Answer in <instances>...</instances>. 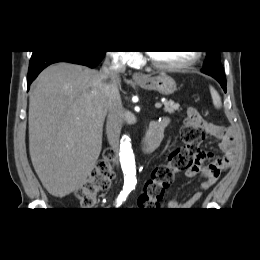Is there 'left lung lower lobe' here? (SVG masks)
I'll list each match as a JSON object with an SVG mask.
<instances>
[{
    "label": "left lung lower lobe",
    "mask_w": 260,
    "mask_h": 260,
    "mask_svg": "<svg viewBox=\"0 0 260 260\" xmlns=\"http://www.w3.org/2000/svg\"><path fill=\"white\" fill-rule=\"evenodd\" d=\"M203 73L215 78L226 92V78L223 72V68H203Z\"/></svg>",
    "instance_id": "left-lung-lower-lobe-1"
}]
</instances>
